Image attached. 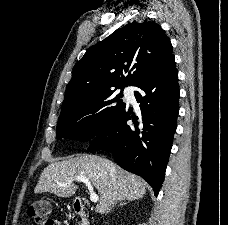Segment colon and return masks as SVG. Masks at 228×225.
Instances as JSON below:
<instances>
[{
  "label": "colon",
  "mask_w": 228,
  "mask_h": 225,
  "mask_svg": "<svg viewBox=\"0 0 228 225\" xmlns=\"http://www.w3.org/2000/svg\"><path fill=\"white\" fill-rule=\"evenodd\" d=\"M50 203L46 200L32 201L27 207V214L37 225H57L50 219Z\"/></svg>",
  "instance_id": "colon-1"
}]
</instances>
